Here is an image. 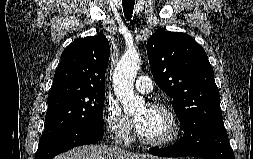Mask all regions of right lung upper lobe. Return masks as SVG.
<instances>
[{
    "instance_id": "right-lung-upper-lobe-1",
    "label": "right lung upper lobe",
    "mask_w": 253,
    "mask_h": 159,
    "mask_svg": "<svg viewBox=\"0 0 253 159\" xmlns=\"http://www.w3.org/2000/svg\"><path fill=\"white\" fill-rule=\"evenodd\" d=\"M109 55V42L102 33L72 42L62 53L48 98L105 91Z\"/></svg>"
}]
</instances>
